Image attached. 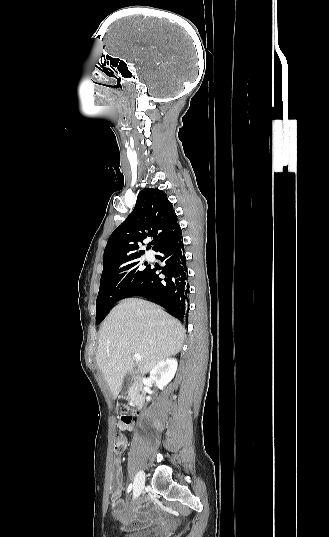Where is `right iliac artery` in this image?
I'll use <instances>...</instances> for the list:
<instances>
[{"instance_id": "82829eb1", "label": "right iliac artery", "mask_w": 329, "mask_h": 537, "mask_svg": "<svg viewBox=\"0 0 329 537\" xmlns=\"http://www.w3.org/2000/svg\"><path fill=\"white\" fill-rule=\"evenodd\" d=\"M131 490H132V483H130L127 487V494L130 493Z\"/></svg>"}]
</instances>
